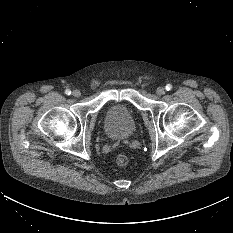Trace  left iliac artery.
<instances>
[{
	"label": "left iliac artery",
	"instance_id": "44dca946",
	"mask_svg": "<svg viewBox=\"0 0 233 233\" xmlns=\"http://www.w3.org/2000/svg\"><path fill=\"white\" fill-rule=\"evenodd\" d=\"M165 88H166L167 91H170L172 89V85L171 84H167Z\"/></svg>",
	"mask_w": 233,
	"mask_h": 233
}]
</instances>
